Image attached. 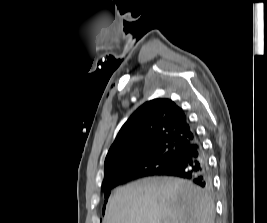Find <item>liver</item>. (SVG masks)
Listing matches in <instances>:
<instances>
[{
    "mask_svg": "<svg viewBox=\"0 0 267 223\" xmlns=\"http://www.w3.org/2000/svg\"><path fill=\"white\" fill-rule=\"evenodd\" d=\"M211 197L191 182L168 177L117 188L103 223H214Z\"/></svg>",
    "mask_w": 267,
    "mask_h": 223,
    "instance_id": "liver-1",
    "label": "liver"
}]
</instances>
